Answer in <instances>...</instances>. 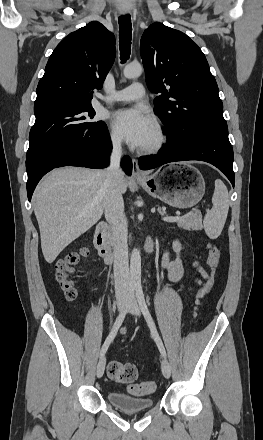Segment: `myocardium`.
Wrapping results in <instances>:
<instances>
[{"label":"myocardium","mask_w":263,"mask_h":440,"mask_svg":"<svg viewBox=\"0 0 263 440\" xmlns=\"http://www.w3.org/2000/svg\"><path fill=\"white\" fill-rule=\"evenodd\" d=\"M152 128L154 131V141L145 146H139L138 152L142 154H154L165 147L168 142V134L163 125L157 121H152Z\"/></svg>","instance_id":"myocardium-1"}]
</instances>
